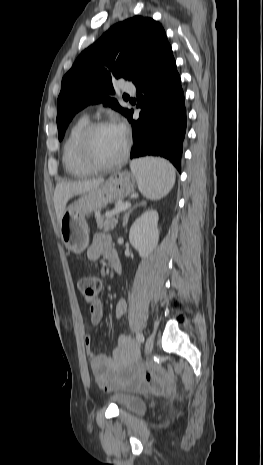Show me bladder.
<instances>
[{
    "label": "bladder",
    "instance_id": "obj_1",
    "mask_svg": "<svg viewBox=\"0 0 263 465\" xmlns=\"http://www.w3.org/2000/svg\"><path fill=\"white\" fill-rule=\"evenodd\" d=\"M111 400L114 401L123 412L141 415L146 410L145 401L134 394L116 393L111 396Z\"/></svg>",
    "mask_w": 263,
    "mask_h": 465
}]
</instances>
